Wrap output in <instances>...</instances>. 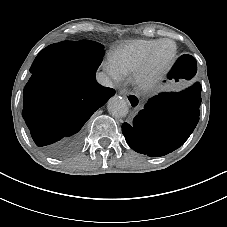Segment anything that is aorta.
I'll list each match as a JSON object with an SVG mask.
<instances>
[{
    "label": "aorta",
    "mask_w": 227,
    "mask_h": 227,
    "mask_svg": "<svg viewBox=\"0 0 227 227\" xmlns=\"http://www.w3.org/2000/svg\"><path fill=\"white\" fill-rule=\"evenodd\" d=\"M109 113L116 118L125 117L128 114V105L124 98L113 96L107 103Z\"/></svg>",
    "instance_id": "aorta-1"
}]
</instances>
